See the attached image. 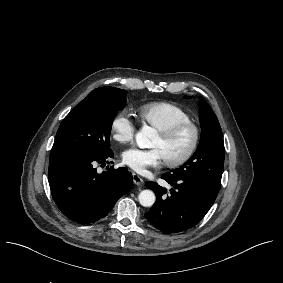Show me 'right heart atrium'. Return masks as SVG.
I'll list each match as a JSON object with an SVG mask.
<instances>
[{"label": "right heart atrium", "instance_id": "1", "mask_svg": "<svg viewBox=\"0 0 283 283\" xmlns=\"http://www.w3.org/2000/svg\"><path fill=\"white\" fill-rule=\"evenodd\" d=\"M136 125L124 112L115 114L109 124V134L112 141L119 144L132 142Z\"/></svg>", "mask_w": 283, "mask_h": 283}]
</instances>
